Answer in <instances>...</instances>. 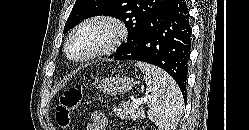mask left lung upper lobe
<instances>
[{"label": "left lung upper lobe", "instance_id": "5c2ea615", "mask_svg": "<svg viewBox=\"0 0 249 130\" xmlns=\"http://www.w3.org/2000/svg\"><path fill=\"white\" fill-rule=\"evenodd\" d=\"M170 0H76L64 26V34L83 20L108 15L123 21L128 30L127 43L116 53L130 44L144 23Z\"/></svg>", "mask_w": 249, "mask_h": 130}]
</instances>
